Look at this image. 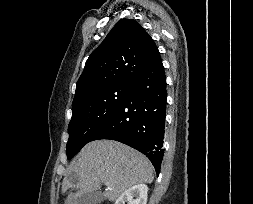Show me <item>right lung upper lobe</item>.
I'll list each match as a JSON object with an SVG mask.
<instances>
[{
    "label": "right lung upper lobe",
    "instance_id": "right-lung-upper-lobe-1",
    "mask_svg": "<svg viewBox=\"0 0 253 204\" xmlns=\"http://www.w3.org/2000/svg\"><path fill=\"white\" fill-rule=\"evenodd\" d=\"M158 54L153 39L138 22L119 20L87 59L73 104L104 88L131 84Z\"/></svg>",
    "mask_w": 253,
    "mask_h": 204
}]
</instances>
